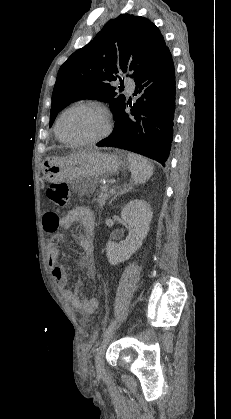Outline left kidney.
<instances>
[{
	"mask_svg": "<svg viewBox=\"0 0 231 419\" xmlns=\"http://www.w3.org/2000/svg\"><path fill=\"white\" fill-rule=\"evenodd\" d=\"M121 217L129 226V234L118 244L113 241L107 243L106 255L111 265L128 260L141 247L149 232L153 213L149 203L136 199L124 206Z\"/></svg>",
	"mask_w": 231,
	"mask_h": 419,
	"instance_id": "1",
	"label": "left kidney"
}]
</instances>
